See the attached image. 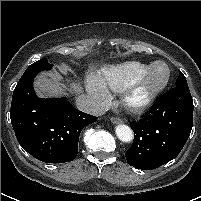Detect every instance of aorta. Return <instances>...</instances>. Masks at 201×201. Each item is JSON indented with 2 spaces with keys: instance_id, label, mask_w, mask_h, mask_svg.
Returning a JSON list of instances; mask_svg holds the SVG:
<instances>
[{
  "instance_id": "1",
  "label": "aorta",
  "mask_w": 201,
  "mask_h": 201,
  "mask_svg": "<svg viewBox=\"0 0 201 201\" xmlns=\"http://www.w3.org/2000/svg\"><path fill=\"white\" fill-rule=\"evenodd\" d=\"M115 132L117 137L123 142H130L133 139V131L127 125L120 124L116 126Z\"/></svg>"
}]
</instances>
